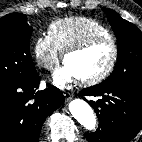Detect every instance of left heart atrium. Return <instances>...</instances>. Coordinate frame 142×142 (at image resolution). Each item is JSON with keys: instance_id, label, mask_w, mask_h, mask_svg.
<instances>
[{"instance_id": "39dd6f15", "label": "left heart atrium", "mask_w": 142, "mask_h": 142, "mask_svg": "<svg viewBox=\"0 0 142 142\" xmlns=\"http://www.w3.org/2000/svg\"><path fill=\"white\" fill-rule=\"evenodd\" d=\"M77 79H79L78 75L67 62L59 66L52 75L53 83L60 88L66 87Z\"/></svg>"}]
</instances>
